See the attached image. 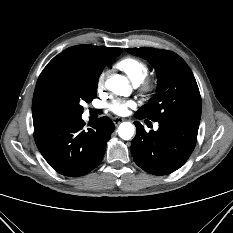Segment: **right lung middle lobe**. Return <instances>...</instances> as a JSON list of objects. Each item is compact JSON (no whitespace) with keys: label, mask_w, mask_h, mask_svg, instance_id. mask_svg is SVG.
I'll list each match as a JSON object with an SVG mask.
<instances>
[{"label":"right lung middle lobe","mask_w":233,"mask_h":233,"mask_svg":"<svg viewBox=\"0 0 233 233\" xmlns=\"http://www.w3.org/2000/svg\"><path fill=\"white\" fill-rule=\"evenodd\" d=\"M120 53V48H111L96 66L72 69L59 77L54 86L53 99L64 117H80L82 115L81 103L84 101L90 103L96 96L99 75L104 67Z\"/></svg>","instance_id":"right-lung-middle-lobe-1"}]
</instances>
